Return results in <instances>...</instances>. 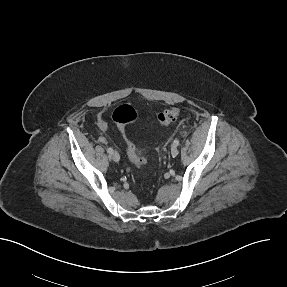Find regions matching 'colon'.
I'll return each instance as SVG.
<instances>
[{
	"instance_id": "1",
	"label": "colon",
	"mask_w": 287,
	"mask_h": 287,
	"mask_svg": "<svg viewBox=\"0 0 287 287\" xmlns=\"http://www.w3.org/2000/svg\"><path fill=\"white\" fill-rule=\"evenodd\" d=\"M179 115L180 110L178 108L170 107L157 115V121L161 126L165 127L176 121ZM137 118V112L129 105H121L113 112V120L121 134L124 136L126 151L129 159L137 168H144L146 165L145 158L137 151L135 146L127 138H125L126 127L129 124L134 123Z\"/></svg>"
}]
</instances>
